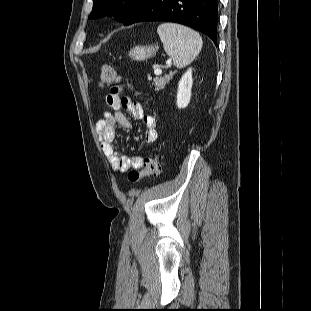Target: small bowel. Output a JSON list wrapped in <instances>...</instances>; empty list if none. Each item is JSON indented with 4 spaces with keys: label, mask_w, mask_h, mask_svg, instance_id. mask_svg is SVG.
I'll return each instance as SVG.
<instances>
[{
    "label": "small bowel",
    "mask_w": 311,
    "mask_h": 311,
    "mask_svg": "<svg viewBox=\"0 0 311 311\" xmlns=\"http://www.w3.org/2000/svg\"><path fill=\"white\" fill-rule=\"evenodd\" d=\"M106 103L111 111H105L103 117L96 123V131L99 134L103 151L114 171L126 172L131 169H141L144 165V157H128L121 155L115 147L116 126L129 128L130 122L122 112L129 111L134 118L143 120L145 124V143L153 144L158 138L157 119L144 113L143 106L129 97H121L118 94H108Z\"/></svg>",
    "instance_id": "c3829d8e"
}]
</instances>
